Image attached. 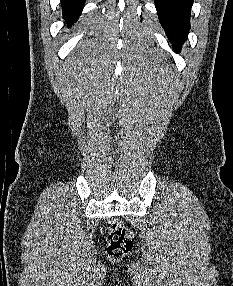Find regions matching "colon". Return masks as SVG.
I'll return each instance as SVG.
<instances>
[{"label": "colon", "instance_id": "colon-1", "mask_svg": "<svg viewBox=\"0 0 233 286\" xmlns=\"http://www.w3.org/2000/svg\"><path fill=\"white\" fill-rule=\"evenodd\" d=\"M109 233L105 241V249L111 255H120L127 252L133 243L131 232L119 221L112 220Z\"/></svg>", "mask_w": 233, "mask_h": 286}]
</instances>
